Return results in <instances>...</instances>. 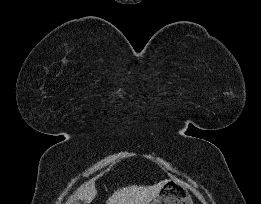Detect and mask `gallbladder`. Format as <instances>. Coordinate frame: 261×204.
I'll return each mask as SVG.
<instances>
[{"label":"gallbladder","mask_w":261,"mask_h":204,"mask_svg":"<svg viewBox=\"0 0 261 204\" xmlns=\"http://www.w3.org/2000/svg\"><path fill=\"white\" fill-rule=\"evenodd\" d=\"M72 204H82V203L79 202L78 200H75Z\"/></svg>","instance_id":"obj_1"}]
</instances>
